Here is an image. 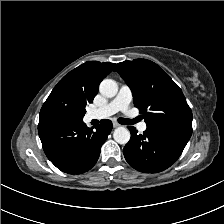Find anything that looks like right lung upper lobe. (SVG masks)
<instances>
[{
	"instance_id": "1",
	"label": "right lung upper lobe",
	"mask_w": 224,
	"mask_h": 224,
	"mask_svg": "<svg viewBox=\"0 0 224 224\" xmlns=\"http://www.w3.org/2000/svg\"><path fill=\"white\" fill-rule=\"evenodd\" d=\"M114 63L88 61L65 75L58 83L91 103L97 95L100 82L112 71Z\"/></svg>"
}]
</instances>
